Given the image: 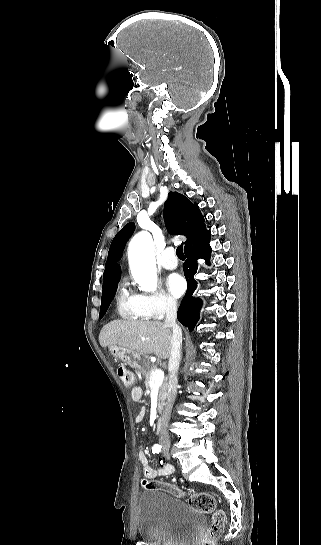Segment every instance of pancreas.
Segmentation results:
<instances>
[{"label": "pancreas", "mask_w": 321, "mask_h": 545, "mask_svg": "<svg viewBox=\"0 0 321 545\" xmlns=\"http://www.w3.org/2000/svg\"><path fill=\"white\" fill-rule=\"evenodd\" d=\"M157 367L156 365H151V367H149L148 371H146V373H143L144 377H145V387L146 389H150V377H151V373L152 371H156ZM167 391H168V385L166 383V381H164V383H162L161 387H159V395H158V413H162L163 411V407L165 405V399H167Z\"/></svg>", "instance_id": "cf45deb5"}]
</instances>
